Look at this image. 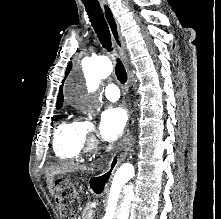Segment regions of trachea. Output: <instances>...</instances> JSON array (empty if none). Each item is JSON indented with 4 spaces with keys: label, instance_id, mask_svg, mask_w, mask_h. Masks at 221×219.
<instances>
[{
    "label": "trachea",
    "instance_id": "1",
    "mask_svg": "<svg viewBox=\"0 0 221 219\" xmlns=\"http://www.w3.org/2000/svg\"><path fill=\"white\" fill-rule=\"evenodd\" d=\"M86 12L99 41L107 51L112 52L111 35L99 3L84 2ZM115 74L121 83L127 81V74L120 59H116Z\"/></svg>",
    "mask_w": 221,
    "mask_h": 219
}]
</instances>
